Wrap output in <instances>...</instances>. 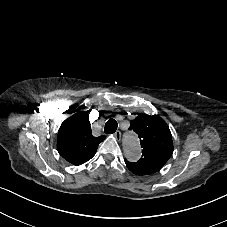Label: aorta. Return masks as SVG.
<instances>
[{
  "instance_id": "762f6f07",
  "label": "aorta",
  "mask_w": 227,
  "mask_h": 227,
  "mask_svg": "<svg viewBox=\"0 0 227 227\" xmlns=\"http://www.w3.org/2000/svg\"><path fill=\"white\" fill-rule=\"evenodd\" d=\"M124 149L126 156L131 161H136L141 156V148L139 140L134 133H129L125 136Z\"/></svg>"
}]
</instances>
